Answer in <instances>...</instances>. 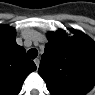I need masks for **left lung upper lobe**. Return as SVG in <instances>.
Here are the masks:
<instances>
[{
    "mask_svg": "<svg viewBox=\"0 0 95 95\" xmlns=\"http://www.w3.org/2000/svg\"><path fill=\"white\" fill-rule=\"evenodd\" d=\"M39 66V74L53 95H78L95 83V44L80 31L68 36L51 33Z\"/></svg>",
    "mask_w": 95,
    "mask_h": 95,
    "instance_id": "left-lung-upper-lobe-1",
    "label": "left lung upper lobe"
}]
</instances>
